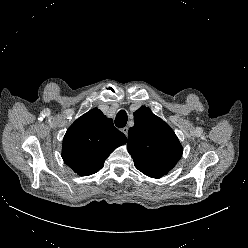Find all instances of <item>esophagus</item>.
<instances>
[{
    "label": "esophagus",
    "instance_id": "1",
    "mask_svg": "<svg viewBox=\"0 0 248 248\" xmlns=\"http://www.w3.org/2000/svg\"><path fill=\"white\" fill-rule=\"evenodd\" d=\"M121 131L127 136L128 135V127H124Z\"/></svg>",
    "mask_w": 248,
    "mask_h": 248
}]
</instances>
